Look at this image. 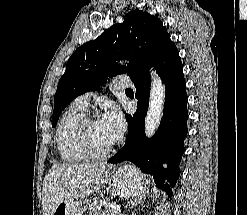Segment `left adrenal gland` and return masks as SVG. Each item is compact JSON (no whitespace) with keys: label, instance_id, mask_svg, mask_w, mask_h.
<instances>
[{"label":"left adrenal gland","instance_id":"1","mask_svg":"<svg viewBox=\"0 0 247 215\" xmlns=\"http://www.w3.org/2000/svg\"><path fill=\"white\" fill-rule=\"evenodd\" d=\"M146 197L140 196L138 198H134V200L130 201V209L136 207L138 204H140L141 202H143L145 200Z\"/></svg>","mask_w":247,"mask_h":215}]
</instances>
